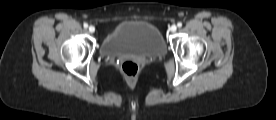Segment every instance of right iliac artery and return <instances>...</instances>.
<instances>
[{
  "label": "right iliac artery",
  "instance_id": "obj_1",
  "mask_svg": "<svg viewBox=\"0 0 276 120\" xmlns=\"http://www.w3.org/2000/svg\"><path fill=\"white\" fill-rule=\"evenodd\" d=\"M84 28H88V24L87 23H84Z\"/></svg>",
  "mask_w": 276,
  "mask_h": 120
}]
</instances>
